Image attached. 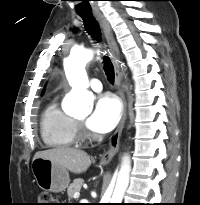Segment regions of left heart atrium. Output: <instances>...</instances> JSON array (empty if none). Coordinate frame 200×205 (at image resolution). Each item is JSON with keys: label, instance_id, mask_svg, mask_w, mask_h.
<instances>
[{"label": "left heart atrium", "instance_id": "obj_1", "mask_svg": "<svg viewBox=\"0 0 200 205\" xmlns=\"http://www.w3.org/2000/svg\"><path fill=\"white\" fill-rule=\"evenodd\" d=\"M121 116V106L118 100L110 94L101 95L87 120V126L94 132L107 133L118 123Z\"/></svg>", "mask_w": 200, "mask_h": 205}]
</instances>
